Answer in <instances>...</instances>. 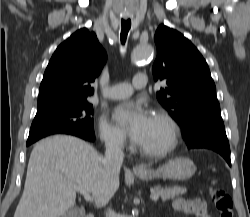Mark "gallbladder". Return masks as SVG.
Here are the masks:
<instances>
[{"label":"gallbladder","instance_id":"bac80fb5","mask_svg":"<svg viewBox=\"0 0 250 217\" xmlns=\"http://www.w3.org/2000/svg\"><path fill=\"white\" fill-rule=\"evenodd\" d=\"M63 217H84V212L82 210H70Z\"/></svg>","mask_w":250,"mask_h":217}]
</instances>
